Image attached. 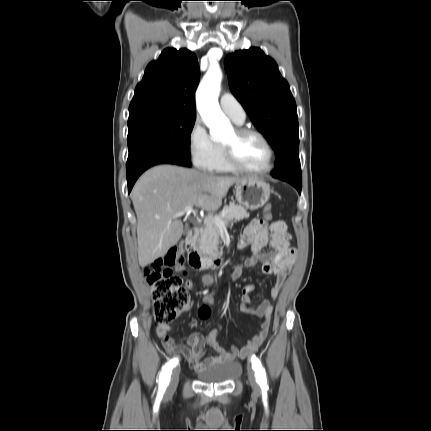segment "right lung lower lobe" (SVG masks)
I'll return each instance as SVG.
<instances>
[{
	"mask_svg": "<svg viewBox=\"0 0 431 431\" xmlns=\"http://www.w3.org/2000/svg\"><path fill=\"white\" fill-rule=\"evenodd\" d=\"M176 164L191 167L190 157L163 143H148L132 152L127 159L128 193L137 178L148 168L157 164Z\"/></svg>",
	"mask_w": 431,
	"mask_h": 431,
	"instance_id": "obj_1",
	"label": "right lung lower lobe"
}]
</instances>
